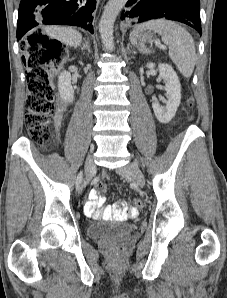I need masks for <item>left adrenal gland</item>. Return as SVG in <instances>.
<instances>
[{
    "label": "left adrenal gland",
    "instance_id": "a2214340",
    "mask_svg": "<svg viewBox=\"0 0 227 298\" xmlns=\"http://www.w3.org/2000/svg\"><path fill=\"white\" fill-rule=\"evenodd\" d=\"M129 47V46H128ZM132 54H134V55H136V51L133 49L132 50V52H131Z\"/></svg>",
    "mask_w": 227,
    "mask_h": 298
}]
</instances>
